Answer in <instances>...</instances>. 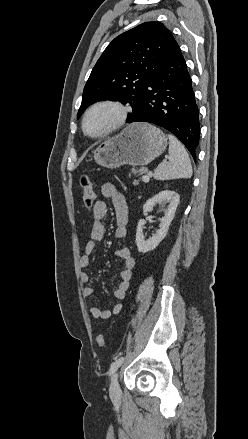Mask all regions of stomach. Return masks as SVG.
Masks as SVG:
<instances>
[{"label":"stomach","instance_id":"stomach-1","mask_svg":"<svg viewBox=\"0 0 248 439\" xmlns=\"http://www.w3.org/2000/svg\"><path fill=\"white\" fill-rule=\"evenodd\" d=\"M167 147L165 134L148 123H133L120 134L102 142L94 151L96 163L116 169L122 165L144 166Z\"/></svg>","mask_w":248,"mask_h":439}]
</instances>
